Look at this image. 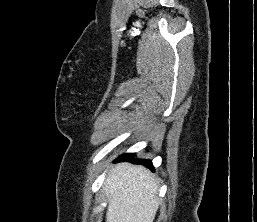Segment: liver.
Here are the masks:
<instances>
[{
	"instance_id": "liver-1",
	"label": "liver",
	"mask_w": 257,
	"mask_h": 222,
	"mask_svg": "<svg viewBox=\"0 0 257 222\" xmlns=\"http://www.w3.org/2000/svg\"><path fill=\"white\" fill-rule=\"evenodd\" d=\"M103 190L109 201L106 222H153L158 186L148 169L119 163L111 169Z\"/></svg>"
}]
</instances>
